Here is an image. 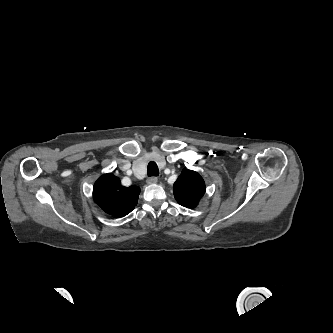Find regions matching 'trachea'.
Instances as JSON below:
<instances>
[{
  "label": "trachea",
  "mask_w": 333,
  "mask_h": 333,
  "mask_svg": "<svg viewBox=\"0 0 333 333\" xmlns=\"http://www.w3.org/2000/svg\"><path fill=\"white\" fill-rule=\"evenodd\" d=\"M147 174L149 177L159 175L158 166L154 161L149 162L148 167H147Z\"/></svg>",
  "instance_id": "1"
}]
</instances>
